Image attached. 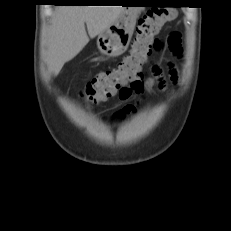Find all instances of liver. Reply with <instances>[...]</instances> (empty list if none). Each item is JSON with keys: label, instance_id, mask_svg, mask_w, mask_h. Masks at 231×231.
<instances>
[{"label": "liver", "instance_id": "1", "mask_svg": "<svg viewBox=\"0 0 231 231\" xmlns=\"http://www.w3.org/2000/svg\"><path fill=\"white\" fill-rule=\"evenodd\" d=\"M126 10L122 6H59L52 16L46 37L48 70L58 75L63 65L73 59L89 42L112 25Z\"/></svg>", "mask_w": 231, "mask_h": 231}]
</instances>
